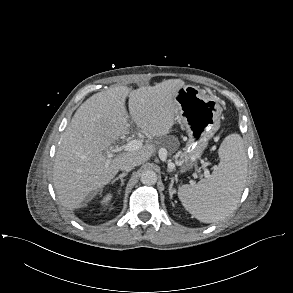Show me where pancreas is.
<instances>
[{"mask_svg": "<svg viewBox=\"0 0 293 293\" xmlns=\"http://www.w3.org/2000/svg\"><path fill=\"white\" fill-rule=\"evenodd\" d=\"M175 150V148H170V151H174Z\"/></svg>", "mask_w": 293, "mask_h": 293, "instance_id": "pancreas-1", "label": "pancreas"}]
</instances>
